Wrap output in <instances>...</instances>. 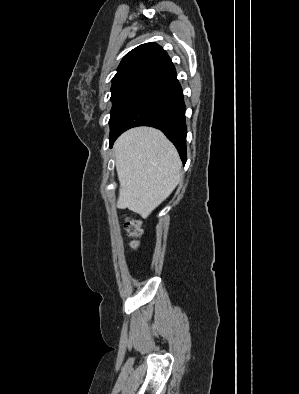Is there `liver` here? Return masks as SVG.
I'll list each match as a JSON object with an SVG mask.
<instances>
[{"instance_id":"6515ba94","label":"liver","mask_w":299,"mask_h":394,"mask_svg":"<svg viewBox=\"0 0 299 394\" xmlns=\"http://www.w3.org/2000/svg\"><path fill=\"white\" fill-rule=\"evenodd\" d=\"M114 152L120 183L117 207L147 218L180 181L177 150L161 131L136 127L117 139Z\"/></svg>"}]
</instances>
